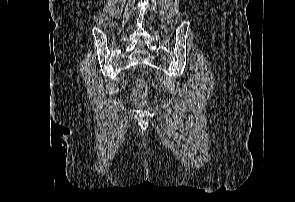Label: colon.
I'll list each match as a JSON object with an SVG mask.
<instances>
[{
	"label": "colon",
	"mask_w": 295,
	"mask_h": 202,
	"mask_svg": "<svg viewBox=\"0 0 295 202\" xmlns=\"http://www.w3.org/2000/svg\"><path fill=\"white\" fill-rule=\"evenodd\" d=\"M148 94V87L144 80L136 79L135 88L132 91V98L138 104L146 102Z\"/></svg>",
	"instance_id": "5ec220e1"
}]
</instances>
